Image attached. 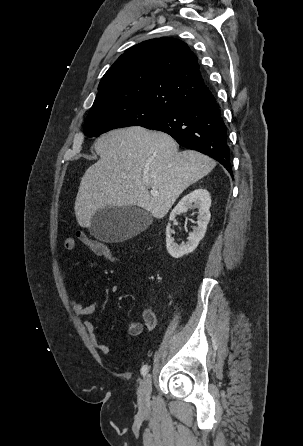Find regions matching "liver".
Instances as JSON below:
<instances>
[{
	"label": "liver",
	"instance_id": "6515ba94",
	"mask_svg": "<svg viewBox=\"0 0 303 446\" xmlns=\"http://www.w3.org/2000/svg\"><path fill=\"white\" fill-rule=\"evenodd\" d=\"M95 151L100 159L86 170L75 200L82 227H90L94 214L106 207L138 206L163 218L186 188L216 166L197 151L179 152L169 135L140 126L103 134Z\"/></svg>",
	"mask_w": 303,
	"mask_h": 446
}]
</instances>
